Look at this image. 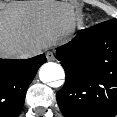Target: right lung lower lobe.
<instances>
[{
  "mask_svg": "<svg viewBox=\"0 0 117 117\" xmlns=\"http://www.w3.org/2000/svg\"><path fill=\"white\" fill-rule=\"evenodd\" d=\"M45 62L43 54L24 60L0 59V117L19 116L26 90Z\"/></svg>",
  "mask_w": 117,
  "mask_h": 117,
  "instance_id": "obj_1",
  "label": "right lung lower lobe"
}]
</instances>
